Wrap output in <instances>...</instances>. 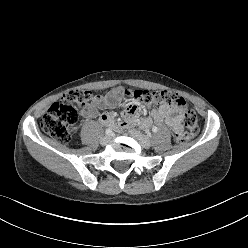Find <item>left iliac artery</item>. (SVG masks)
I'll use <instances>...</instances> for the list:
<instances>
[{"instance_id":"1","label":"left iliac artery","mask_w":248,"mask_h":248,"mask_svg":"<svg viewBox=\"0 0 248 248\" xmlns=\"http://www.w3.org/2000/svg\"><path fill=\"white\" fill-rule=\"evenodd\" d=\"M152 131H153L154 133H156V132L158 131V128H157L156 126H154V127L152 128Z\"/></svg>"}]
</instances>
